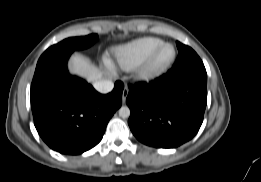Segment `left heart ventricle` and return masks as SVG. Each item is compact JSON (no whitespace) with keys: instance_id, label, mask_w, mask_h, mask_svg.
I'll return each mask as SVG.
<instances>
[{"instance_id":"1","label":"left heart ventricle","mask_w":261,"mask_h":182,"mask_svg":"<svg viewBox=\"0 0 261 182\" xmlns=\"http://www.w3.org/2000/svg\"><path fill=\"white\" fill-rule=\"evenodd\" d=\"M172 52L173 50L171 47H165L160 53V55L157 57L156 64L160 65L168 61L172 56Z\"/></svg>"}]
</instances>
